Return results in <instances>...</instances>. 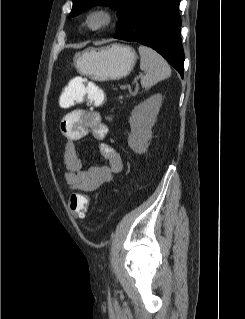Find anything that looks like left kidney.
I'll list each match as a JSON object with an SVG mask.
<instances>
[{"label":"left kidney","mask_w":245,"mask_h":319,"mask_svg":"<svg viewBox=\"0 0 245 319\" xmlns=\"http://www.w3.org/2000/svg\"><path fill=\"white\" fill-rule=\"evenodd\" d=\"M162 105V95L155 94L137 105L129 119L131 133L128 137V145L138 154H143L148 148V142L152 138V127Z\"/></svg>","instance_id":"1"}]
</instances>
